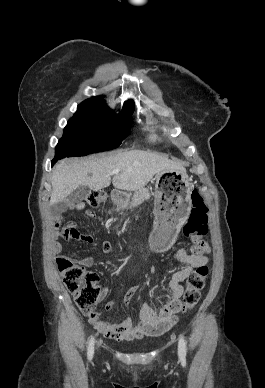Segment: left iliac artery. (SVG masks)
I'll return each instance as SVG.
<instances>
[{
	"instance_id": "obj_1",
	"label": "left iliac artery",
	"mask_w": 265,
	"mask_h": 388,
	"mask_svg": "<svg viewBox=\"0 0 265 388\" xmlns=\"http://www.w3.org/2000/svg\"><path fill=\"white\" fill-rule=\"evenodd\" d=\"M178 350H179L180 356L184 357L186 355V343L183 336L179 337Z\"/></svg>"
}]
</instances>
